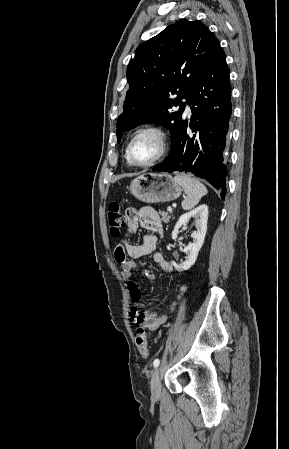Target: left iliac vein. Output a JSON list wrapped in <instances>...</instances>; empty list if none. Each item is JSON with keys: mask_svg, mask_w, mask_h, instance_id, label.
Masks as SVG:
<instances>
[{"mask_svg": "<svg viewBox=\"0 0 289 449\" xmlns=\"http://www.w3.org/2000/svg\"><path fill=\"white\" fill-rule=\"evenodd\" d=\"M160 370V368L155 370L150 383L151 393L154 397H158L161 393Z\"/></svg>", "mask_w": 289, "mask_h": 449, "instance_id": "4c4485c4", "label": "left iliac vein"}]
</instances>
